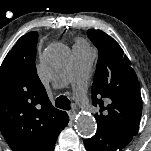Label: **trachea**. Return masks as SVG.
Instances as JSON below:
<instances>
[{"label":"trachea","mask_w":151,"mask_h":151,"mask_svg":"<svg viewBox=\"0 0 151 151\" xmlns=\"http://www.w3.org/2000/svg\"><path fill=\"white\" fill-rule=\"evenodd\" d=\"M55 106L60 109L70 110V100L66 96L61 95L56 99Z\"/></svg>","instance_id":"obj_1"}]
</instances>
